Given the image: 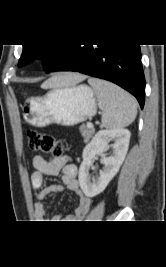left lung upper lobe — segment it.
Masks as SVG:
<instances>
[{
	"mask_svg": "<svg viewBox=\"0 0 166 267\" xmlns=\"http://www.w3.org/2000/svg\"><path fill=\"white\" fill-rule=\"evenodd\" d=\"M66 45H23V53L18 66L25 65L35 58L44 60V69L49 72L56 64Z\"/></svg>",
	"mask_w": 166,
	"mask_h": 267,
	"instance_id": "left-lung-upper-lobe-1",
	"label": "left lung upper lobe"
}]
</instances>
